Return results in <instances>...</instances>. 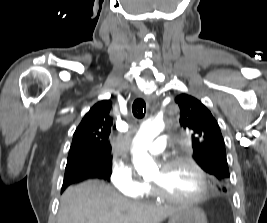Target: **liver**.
<instances>
[{
    "instance_id": "1",
    "label": "liver",
    "mask_w": 267,
    "mask_h": 223,
    "mask_svg": "<svg viewBox=\"0 0 267 223\" xmlns=\"http://www.w3.org/2000/svg\"><path fill=\"white\" fill-rule=\"evenodd\" d=\"M177 211L128 200L103 181L89 180L63 193L57 223H160Z\"/></svg>"
}]
</instances>
